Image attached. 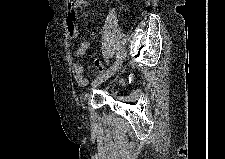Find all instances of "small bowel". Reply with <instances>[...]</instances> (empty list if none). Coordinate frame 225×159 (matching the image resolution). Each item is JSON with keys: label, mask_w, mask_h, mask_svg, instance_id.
Segmentation results:
<instances>
[{"label": "small bowel", "mask_w": 225, "mask_h": 159, "mask_svg": "<svg viewBox=\"0 0 225 159\" xmlns=\"http://www.w3.org/2000/svg\"><path fill=\"white\" fill-rule=\"evenodd\" d=\"M87 7V1L86 0H76L73 5L69 8L68 13H67V18H66V27L67 31L69 34V37L74 40L78 36V26L76 22V16L84 11ZM90 47V42L89 41H83L78 48L75 50V56L76 57H83L87 50ZM94 67L98 71H103L104 70V65L102 62L99 60L95 59L94 62ZM73 76L75 81L77 82L78 85L80 86H86L88 84V80L85 78L84 75V67L83 65L79 63H75L73 65ZM123 81L120 80V83Z\"/></svg>", "instance_id": "c3829d8e"}]
</instances>
